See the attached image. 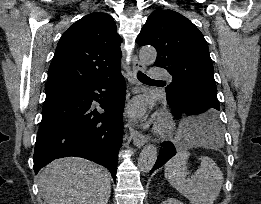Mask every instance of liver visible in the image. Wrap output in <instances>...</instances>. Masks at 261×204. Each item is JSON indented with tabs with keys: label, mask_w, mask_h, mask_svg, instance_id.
I'll list each match as a JSON object with an SVG mask.
<instances>
[{
	"label": "liver",
	"mask_w": 261,
	"mask_h": 204,
	"mask_svg": "<svg viewBox=\"0 0 261 204\" xmlns=\"http://www.w3.org/2000/svg\"><path fill=\"white\" fill-rule=\"evenodd\" d=\"M39 187L46 204H107L111 193L107 170L78 157L48 164L39 175Z\"/></svg>",
	"instance_id": "1"
}]
</instances>
